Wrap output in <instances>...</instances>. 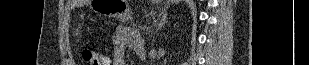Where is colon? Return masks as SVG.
Listing matches in <instances>:
<instances>
[{"instance_id":"obj_1","label":"colon","mask_w":309,"mask_h":65,"mask_svg":"<svg viewBox=\"0 0 309 65\" xmlns=\"http://www.w3.org/2000/svg\"><path fill=\"white\" fill-rule=\"evenodd\" d=\"M82 55L88 65H104L106 62V57L98 50L92 48L84 49Z\"/></svg>"}]
</instances>
